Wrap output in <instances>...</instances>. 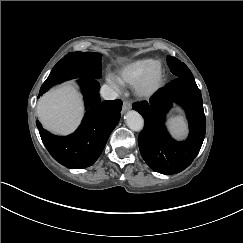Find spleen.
<instances>
[{"label": "spleen", "mask_w": 243, "mask_h": 243, "mask_svg": "<svg viewBox=\"0 0 243 243\" xmlns=\"http://www.w3.org/2000/svg\"><path fill=\"white\" fill-rule=\"evenodd\" d=\"M172 131L176 136H184L186 132V125L181 116L172 117L171 119Z\"/></svg>", "instance_id": "3e777b00"}]
</instances>
